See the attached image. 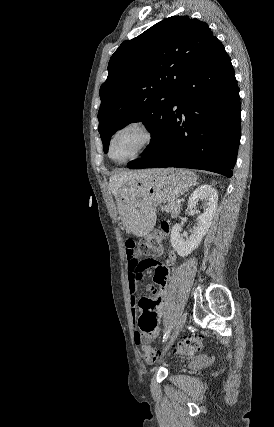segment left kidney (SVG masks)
<instances>
[{
    "label": "left kidney",
    "instance_id": "1",
    "mask_svg": "<svg viewBox=\"0 0 274 427\" xmlns=\"http://www.w3.org/2000/svg\"><path fill=\"white\" fill-rule=\"evenodd\" d=\"M200 200H204L205 204L203 208H205V210L203 214L198 215V223L196 227H193L191 235L188 237L186 233H181L182 225H180V223H175L171 229L172 247H174L178 255H182V257L189 255L193 249L198 247L203 235H206L211 225V219H213L217 212L218 192H216L212 186H208V184L200 186V188H197V190L191 194L186 212L190 210L189 214H191L193 208H196L197 202H200Z\"/></svg>",
    "mask_w": 274,
    "mask_h": 427
}]
</instances>
